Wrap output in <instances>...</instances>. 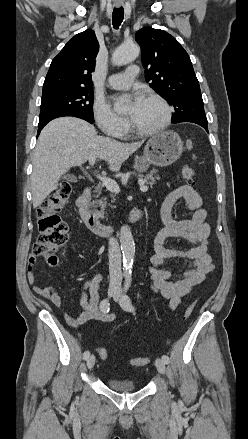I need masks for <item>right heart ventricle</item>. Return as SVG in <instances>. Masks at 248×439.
<instances>
[{
	"mask_svg": "<svg viewBox=\"0 0 248 439\" xmlns=\"http://www.w3.org/2000/svg\"><path fill=\"white\" fill-rule=\"evenodd\" d=\"M129 136H130V132H129L128 130H126V132H125L123 135H121L120 137L126 139V138H128Z\"/></svg>",
	"mask_w": 248,
	"mask_h": 439,
	"instance_id": "obj_1",
	"label": "right heart ventricle"
}]
</instances>
